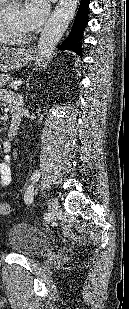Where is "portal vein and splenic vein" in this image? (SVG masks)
I'll use <instances>...</instances> for the list:
<instances>
[{"label":"portal vein and splenic vein","mask_w":129,"mask_h":309,"mask_svg":"<svg viewBox=\"0 0 129 309\" xmlns=\"http://www.w3.org/2000/svg\"><path fill=\"white\" fill-rule=\"evenodd\" d=\"M10 86H11V87H14L15 85H14V83H11Z\"/></svg>","instance_id":"18ae733b"}]
</instances>
